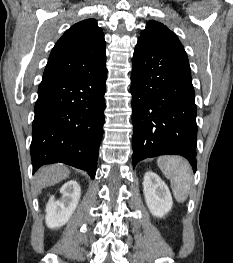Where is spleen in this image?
Returning a JSON list of instances; mask_svg holds the SVG:
<instances>
[{"instance_id":"obj_1","label":"spleen","mask_w":233,"mask_h":263,"mask_svg":"<svg viewBox=\"0 0 233 263\" xmlns=\"http://www.w3.org/2000/svg\"><path fill=\"white\" fill-rule=\"evenodd\" d=\"M157 164L166 178L170 179L175 199L184 202L192 183V169L188 161L180 156H162Z\"/></svg>"}]
</instances>
